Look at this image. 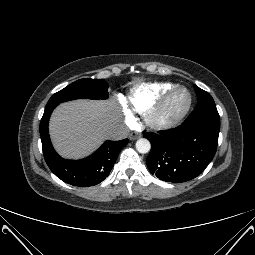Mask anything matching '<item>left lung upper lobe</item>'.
<instances>
[{
    "label": "left lung upper lobe",
    "instance_id": "5c2ea615",
    "mask_svg": "<svg viewBox=\"0 0 255 255\" xmlns=\"http://www.w3.org/2000/svg\"><path fill=\"white\" fill-rule=\"evenodd\" d=\"M198 103L195 110L185 120L186 122H209L220 121V117L215 105V102L211 95L206 91L200 89L198 86H194Z\"/></svg>",
    "mask_w": 255,
    "mask_h": 255
}]
</instances>
